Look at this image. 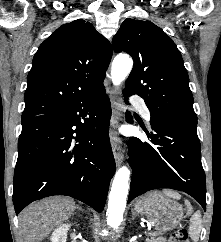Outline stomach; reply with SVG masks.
Returning a JSON list of instances; mask_svg holds the SVG:
<instances>
[{
    "label": "stomach",
    "mask_w": 221,
    "mask_h": 242,
    "mask_svg": "<svg viewBox=\"0 0 221 242\" xmlns=\"http://www.w3.org/2000/svg\"><path fill=\"white\" fill-rule=\"evenodd\" d=\"M135 210L160 231L174 229L183 218L182 206L156 191L139 198Z\"/></svg>",
    "instance_id": "stomach-1"
}]
</instances>
